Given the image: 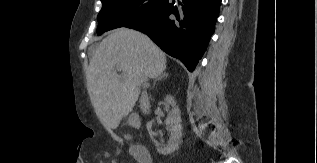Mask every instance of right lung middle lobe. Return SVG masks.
Listing matches in <instances>:
<instances>
[{
	"instance_id": "1",
	"label": "right lung middle lobe",
	"mask_w": 317,
	"mask_h": 163,
	"mask_svg": "<svg viewBox=\"0 0 317 163\" xmlns=\"http://www.w3.org/2000/svg\"><path fill=\"white\" fill-rule=\"evenodd\" d=\"M98 35L125 26L160 7L165 0H101Z\"/></svg>"
}]
</instances>
